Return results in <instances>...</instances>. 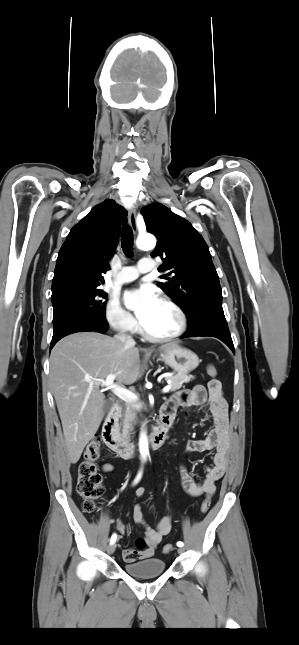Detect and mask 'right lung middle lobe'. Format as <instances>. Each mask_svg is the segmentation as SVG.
Masks as SVG:
<instances>
[{
	"label": "right lung middle lobe",
	"instance_id": "obj_1",
	"mask_svg": "<svg viewBox=\"0 0 299 645\" xmlns=\"http://www.w3.org/2000/svg\"><path fill=\"white\" fill-rule=\"evenodd\" d=\"M107 294L99 288H70L52 295L53 325L56 334L84 320L107 323L105 319Z\"/></svg>",
	"mask_w": 299,
	"mask_h": 645
}]
</instances>
